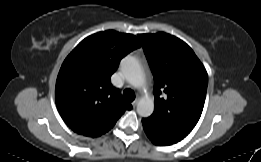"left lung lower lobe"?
<instances>
[{
    "instance_id": "left-lung-lower-lobe-1",
    "label": "left lung lower lobe",
    "mask_w": 261,
    "mask_h": 162,
    "mask_svg": "<svg viewBox=\"0 0 261 162\" xmlns=\"http://www.w3.org/2000/svg\"><path fill=\"white\" fill-rule=\"evenodd\" d=\"M142 124L146 135L155 145H172L181 141L184 138V136L172 133L168 130L161 128L160 126L156 125L154 122L150 121L147 118L142 119Z\"/></svg>"
}]
</instances>
